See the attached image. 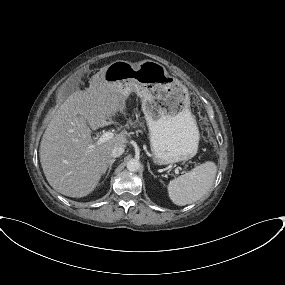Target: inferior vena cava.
<instances>
[{
    "label": "inferior vena cava",
    "mask_w": 285,
    "mask_h": 285,
    "mask_svg": "<svg viewBox=\"0 0 285 285\" xmlns=\"http://www.w3.org/2000/svg\"><path fill=\"white\" fill-rule=\"evenodd\" d=\"M123 153H124V147L117 146V147H114L111 155L113 158H116V157H120Z\"/></svg>",
    "instance_id": "obj_1"
}]
</instances>
